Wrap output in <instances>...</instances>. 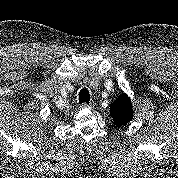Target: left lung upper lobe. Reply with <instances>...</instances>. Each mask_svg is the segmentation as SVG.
Instances as JSON below:
<instances>
[{"label": "left lung upper lobe", "instance_id": "obj_1", "mask_svg": "<svg viewBox=\"0 0 178 178\" xmlns=\"http://www.w3.org/2000/svg\"><path fill=\"white\" fill-rule=\"evenodd\" d=\"M133 109L130 98L122 93L110 105V116L113 119L115 126H124L133 119Z\"/></svg>", "mask_w": 178, "mask_h": 178}]
</instances>
